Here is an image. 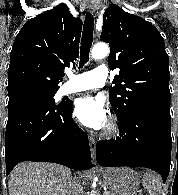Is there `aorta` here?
Segmentation results:
<instances>
[{
  "mask_svg": "<svg viewBox=\"0 0 178 195\" xmlns=\"http://www.w3.org/2000/svg\"><path fill=\"white\" fill-rule=\"evenodd\" d=\"M109 46L105 43H98L96 44L92 51H91V55L94 59L98 60V59H103L105 58L108 54H109ZM94 195V194H91Z\"/></svg>",
  "mask_w": 178,
  "mask_h": 195,
  "instance_id": "1",
  "label": "aorta"
}]
</instances>
